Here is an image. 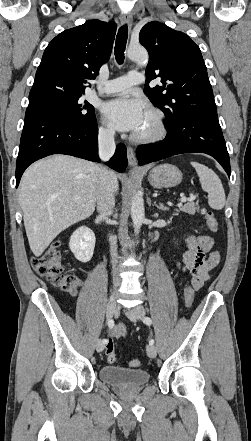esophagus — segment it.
<instances>
[{"mask_svg": "<svg viewBox=\"0 0 251 441\" xmlns=\"http://www.w3.org/2000/svg\"><path fill=\"white\" fill-rule=\"evenodd\" d=\"M120 20L122 24H128L129 26L132 25V15L129 13H122L120 15ZM127 157L130 167L137 168V159H136L135 151L131 146L127 147Z\"/></svg>", "mask_w": 251, "mask_h": 441, "instance_id": "34e87169", "label": "esophagus"}]
</instances>
